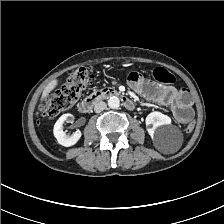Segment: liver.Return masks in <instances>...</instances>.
<instances>
[{
  "label": "liver",
  "instance_id": "obj_1",
  "mask_svg": "<svg viewBox=\"0 0 224 224\" xmlns=\"http://www.w3.org/2000/svg\"><path fill=\"white\" fill-rule=\"evenodd\" d=\"M58 85V80L55 79L53 81H51L45 88L44 92H43V95H42V98H46L49 94V92H51L56 86Z\"/></svg>",
  "mask_w": 224,
  "mask_h": 224
}]
</instances>
